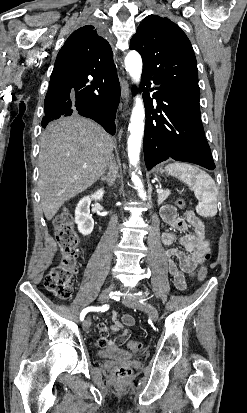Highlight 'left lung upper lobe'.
Instances as JSON below:
<instances>
[{"label":"left lung upper lobe","mask_w":247,"mask_h":413,"mask_svg":"<svg viewBox=\"0 0 247 413\" xmlns=\"http://www.w3.org/2000/svg\"><path fill=\"white\" fill-rule=\"evenodd\" d=\"M143 59V73L160 84L200 99L196 57L186 34L168 18H144L130 41Z\"/></svg>","instance_id":"5c2ea615"}]
</instances>
